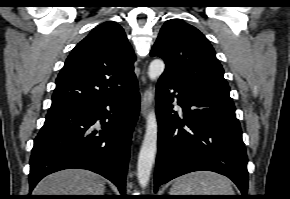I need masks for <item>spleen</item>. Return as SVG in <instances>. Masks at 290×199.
Instances as JSON below:
<instances>
[{"instance_id": "obj_1", "label": "spleen", "mask_w": 290, "mask_h": 199, "mask_svg": "<svg viewBox=\"0 0 290 199\" xmlns=\"http://www.w3.org/2000/svg\"><path fill=\"white\" fill-rule=\"evenodd\" d=\"M170 195H235L225 176L209 171H197L179 177Z\"/></svg>"}]
</instances>
